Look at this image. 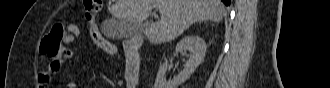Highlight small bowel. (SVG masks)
Segmentation results:
<instances>
[{"label": "small bowel", "mask_w": 330, "mask_h": 88, "mask_svg": "<svg viewBox=\"0 0 330 88\" xmlns=\"http://www.w3.org/2000/svg\"><path fill=\"white\" fill-rule=\"evenodd\" d=\"M65 29H66V35L62 40L63 50H62L61 56L58 57L55 60V62L50 65L49 68L44 69L39 73L38 83L42 87L47 86L52 82L56 71L59 69L60 63H63L66 60H69L70 58H72L74 56V51L71 48H68L66 46H68L78 40L79 35H80V30H79L78 26H76L75 24H72V23L65 25ZM105 51L110 54L116 53V49H115V51H108V50H105ZM127 68L130 69L128 64L126 65V70H127ZM75 86L76 85L74 82H68L65 85L66 88H74Z\"/></svg>", "instance_id": "obj_1"}]
</instances>
